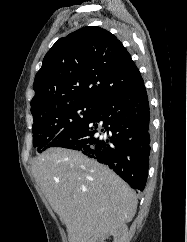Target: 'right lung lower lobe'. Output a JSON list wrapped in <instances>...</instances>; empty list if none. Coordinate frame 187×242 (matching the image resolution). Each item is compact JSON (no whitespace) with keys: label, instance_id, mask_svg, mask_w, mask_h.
Wrapping results in <instances>:
<instances>
[{"label":"right lung lower lobe","instance_id":"98d812e1","mask_svg":"<svg viewBox=\"0 0 187 242\" xmlns=\"http://www.w3.org/2000/svg\"><path fill=\"white\" fill-rule=\"evenodd\" d=\"M52 147L82 152L107 165L133 189L144 190L150 155V112L144 83L110 96Z\"/></svg>","mask_w":187,"mask_h":242}]
</instances>
